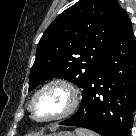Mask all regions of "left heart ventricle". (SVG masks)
<instances>
[{"label":"left heart ventricle","mask_w":136,"mask_h":136,"mask_svg":"<svg viewBox=\"0 0 136 136\" xmlns=\"http://www.w3.org/2000/svg\"><path fill=\"white\" fill-rule=\"evenodd\" d=\"M68 102L66 93L57 87L41 93L35 100L33 112L38 118H48L64 110Z\"/></svg>","instance_id":"left-heart-ventricle-1"}]
</instances>
